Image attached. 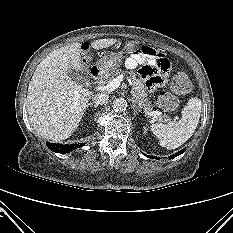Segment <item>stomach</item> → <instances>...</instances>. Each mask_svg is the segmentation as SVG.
<instances>
[{
    "label": "stomach",
    "instance_id": "1",
    "mask_svg": "<svg viewBox=\"0 0 233 233\" xmlns=\"http://www.w3.org/2000/svg\"><path fill=\"white\" fill-rule=\"evenodd\" d=\"M138 45L139 43L136 41H128L124 46V51L102 57L97 66L103 73L115 72L122 64L123 53L132 52Z\"/></svg>",
    "mask_w": 233,
    "mask_h": 233
}]
</instances>
